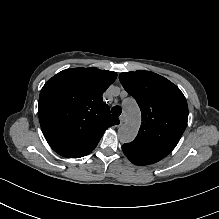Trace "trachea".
Here are the masks:
<instances>
[{"label": "trachea", "mask_w": 219, "mask_h": 219, "mask_svg": "<svg viewBox=\"0 0 219 219\" xmlns=\"http://www.w3.org/2000/svg\"><path fill=\"white\" fill-rule=\"evenodd\" d=\"M111 112H112V114L114 115V116H120L121 115V113H122V108L120 107V106H114L113 108H112V110H111Z\"/></svg>", "instance_id": "1"}]
</instances>
